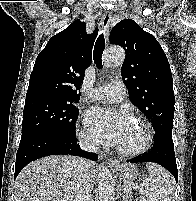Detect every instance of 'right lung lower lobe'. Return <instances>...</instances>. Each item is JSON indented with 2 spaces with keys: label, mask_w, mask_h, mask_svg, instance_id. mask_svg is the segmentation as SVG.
Listing matches in <instances>:
<instances>
[{
  "label": "right lung lower lobe",
  "mask_w": 196,
  "mask_h": 201,
  "mask_svg": "<svg viewBox=\"0 0 196 201\" xmlns=\"http://www.w3.org/2000/svg\"><path fill=\"white\" fill-rule=\"evenodd\" d=\"M55 154L81 156L94 161L98 158L95 153L89 154L80 149L76 133L66 135L49 130H34L22 134L16 154L14 177L31 161Z\"/></svg>",
  "instance_id": "right-lung-lower-lobe-1"
}]
</instances>
